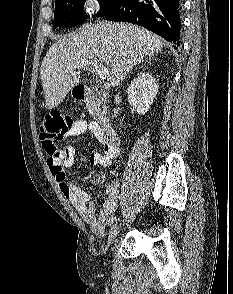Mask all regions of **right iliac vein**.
<instances>
[{"label":"right iliac vein","instance_id":"right-iliac-vein-1","mask_svg":"<svg viewBox=\"0 0 233 294\" xmlns=\"http://www.w3.org/2000/svg\"><path fill=\"white\" fill-rule=\"evenodd\" d=\"M119 228H120V225L117 222L112 225L109 232L108 241H107L108 246H110L116 239L119 233Z\"/></svg>","mask_w":233,"mask_h":294}]
</instances>
